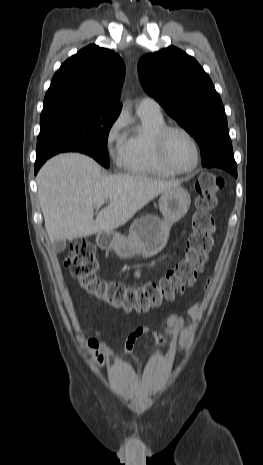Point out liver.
<instances>
[{"instance_id":"1","label":"liver","mask_w":263,"mask_h":465,"mask_svg":"<svg viewBox=\"0 0 263 465\" xmlns=\"http://www.w3.org/2000/svg\"><path fill=\"white\" fill-rule=\"evenodd\" d=\"M37 185L45 229L54 242L113 232L159 194L179 187L180 182L141 175L103 176L91 157L65 153L42 166ZM102 200H109V205L94 219V208Z\"/></svg>"}]
</instances>
